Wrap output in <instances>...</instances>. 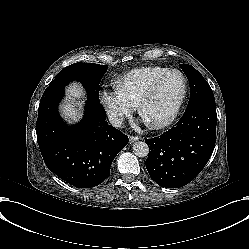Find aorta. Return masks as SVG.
<instances>
[{"mask_svg": "<svg viewBox=\"0 0 249 249\" xmlns=\"http://www.w3.org/2000/svg\"><path fill=\"white\" fill-rule=\"evenodd\" d=\"M133 153L140 158L147 157L149 154V147L143 141H137L133 144Z\"/></svg>", "mask_w": 249, "mask_h": 249, "instance_id": "1", "label": "aorta"}]
</instances>
